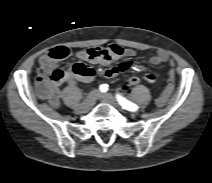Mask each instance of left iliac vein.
Returning <instances> with one entry per match:
<instances>
[{"label": "left iliac vein", "mask_w": 212, "mask_h": 183, "mask_svg": "<svg viewBox=\"0 0 212 183\" xmlns=\"http://www.w3.org/2000/svg\"><path fill=\"white\" fill-rule=\"evenodd\" d=\"M98 99L101 100L102 102H106V103H109L111 105H117L116 98L109 93L99 94Z\"/></svg>", "instance_id": "obj_1"}]
</instances>
